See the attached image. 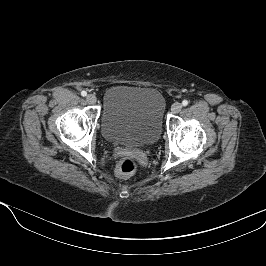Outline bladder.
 I'll list each match as a JSON object with an SVG mask.
<instances>
[{
    "instance_id": "bladder-1",
    "label": "bladder",
    "mask_w": 266,
    "mask_h": 266,
    "mask_svg": "<svg viewBox=\"0 0 266 266\" xmlns=\"http://www.w3.org/2000/svg\"><path fill=\"white\" fill-rule=\"evenodd\" d=\"M165 107L164 96L156 88L112 86L103 96L102 135L115 144L152 145L162 132Z\"/></svg>"
}]
</instances>
